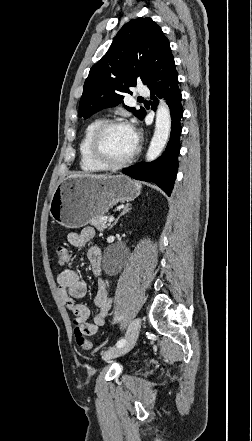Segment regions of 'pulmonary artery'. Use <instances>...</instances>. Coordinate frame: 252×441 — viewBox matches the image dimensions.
Masks as SVG:
<instances>
[{
	"label": "pulmonary artery",
	"instance_id": "e3ab8cb5",
	"mask_svg": "<svg viewBox=\"0 0 252 441\" xmlns=\"http://www.w3.org/2000/svg\"><path fill=\"white\" fill-rule=\"evenodd\" d=\"M137 93L140 96H147L149 95L150 91L147 87H139Z\"/></svg>",
	"mask_w": 252,
	"mask_h": 441
}]
</instances>
